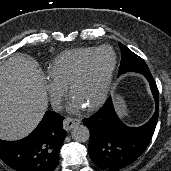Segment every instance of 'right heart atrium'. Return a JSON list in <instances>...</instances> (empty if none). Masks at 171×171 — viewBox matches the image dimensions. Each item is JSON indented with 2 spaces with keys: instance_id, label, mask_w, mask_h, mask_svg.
Returning a JSON list of instances; mask_svg holds the SVG:
<instances>
[{
  "instance_id": "right-heart-atrium-1",
  "label": "right heart atrium",
  "mask_w": 171,
  "mask_h": 171,
  "mask_svg": "<svg viewBox=\"0 0 171 171\" xmlns=\"http://www.w3.org/2000/svg\"><path fill=\"white\" fill-rule=\"evenodd\" d=\"M46 89L49 93L52 105L55 108L59 109L65 97L67 87L62 84H59L48 76L46 80Z\"/></svg>"
}]
</instances>
